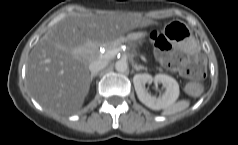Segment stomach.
Wrapping results in <instances>:
<instances>
[{
	"mask_svg": "<svg viewBox=\"0 0 238 145\" xmlns=\"http://www.w3.org/2000/svg\"><path fill=\"white\" fill-rule=\"evenodd\" d=\"M166 36L178 46H185L189 52H197L200 49L198 42L191 30L181 21H170L165 27Z\"/></svg>",
	"mask_w": 238,
	"mask_h": 145,
	"instance_id": "stomach-1",
	"label": "stomach"
}]
</instances>
